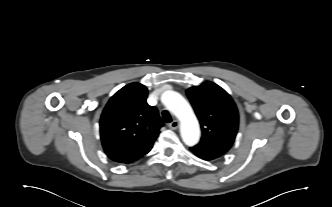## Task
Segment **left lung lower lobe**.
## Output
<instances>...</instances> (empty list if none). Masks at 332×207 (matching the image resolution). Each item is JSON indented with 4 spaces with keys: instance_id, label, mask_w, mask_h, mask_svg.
Here are the masks:
<instances>
[{
    "instance_id": "left-lung-lower-lobe-1",
    "label": "left lung lower lobe",
    "mask_w": 332,
    "mask_h": 207,
    "mask_svg": "<svg viewBox=\"0 0 332 207\" xmlns=\"http://www.w3.org/2000/svg\"><path fill=\"white\" fill-rule=\"evenodd\" d=\"M191 152L196 155L197 157L203 159V160H213V159H216L218 158L219 156L215 155V154H212V153H208V152H203V151H198L196 149H194L193 147L190 148Z\"/></svg>"
}]
</instances>
